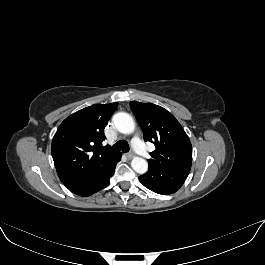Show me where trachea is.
I'll return each instance as SVG.
<instances>
[{"instance_id": "3493384b", "label": "trachea", "mask_w": 265, "mask_h": 265, "mask_svg": "<svg viewBox=\"0 0 265 265\" xmlns=\"http://www.w3.org/2000/svg\"><path fill=\"white\" fill-rule=\"evenodd\" d=\"M112 150L114 151H122L123 153H126L130 150L128 144L126 141L124 140H121V141H118L116 142L113 147H112Z\"/></svg>"}]
</instances>
